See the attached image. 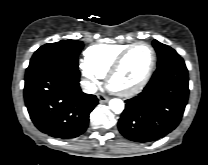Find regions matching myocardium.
Returning <instances> with one entry per match:
<instances>
[{
	"instance_id": "f54148a6",
	"label": "myocardium",
	"mask_w": 208,
	"mask_h": 165,
	"mask_svg": "<svg viewBox=\"0 0 208 165\" xmlns=\"http://www.w3.org/2000/svg\"><path fill=\"white\" fill-rule=\"evenodd\" d=\"M139 46H145L149 48L151 51V61H150V65L146 73L144 74L142 79L138 83L134 84L133 86L119 87L115 85L114 78L117 75V73L120 71V69L122 68L126 58L135 48ZM156 60H157L156 51L151 44L147 42H137V43L129 45L117 56V58L114 60L113 64L111 65L109 71L106 74V80H107V85L109 89L117 95L126 96V97L139 93L151 79L152 74L155 69Z\"/></svg>"
}]
</instances>
